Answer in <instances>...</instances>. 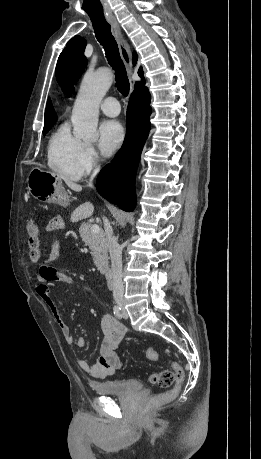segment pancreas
I'll return each instance as SVG.
<instances>
[{
    "instance_id": "pancreas-1",
    "label": "pancreas",
    "mask_w": 261,
    "mask_h": 459,
    "mask_svg": "<svg viewBox=\"0 0 261 459\" xmlns=\"http://www.w3.org/2000/svg\"><path fill=\"white\" fill-rule=\"evenodd\" d=\"M91 226V224L82 223L79 228V233L85 245L91 250L94 264L99 269H102L108 263V248L105 233L100 230L99 233L94 234L91 231Z\"/></svg>"
}]
</instances>
